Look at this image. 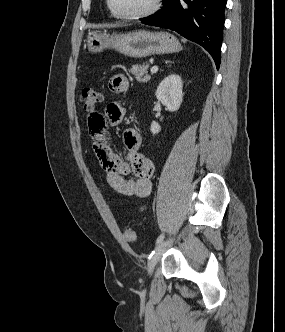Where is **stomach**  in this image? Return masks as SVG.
I'll return each instance as SVG.
<instances>
[{
	"label": "stomach",
	"mask_w": 285,
	"mask_h": 332,
	"mask_svg": "<svg viewBox=\"0 0 285 332\" xmlns=\"http://www.w3.org/2000/svg\"><path fill=\"white\" fill-rule=\"evenodd\" d=\"M85 47L92 54L111 48L125 56L134 58L173 53L181 49L178 40L168 32L141 30L112 36L98 30H89L85 40Z\"/></svg>",
	"instance_id": "stomach-1"
}]
</instances>
